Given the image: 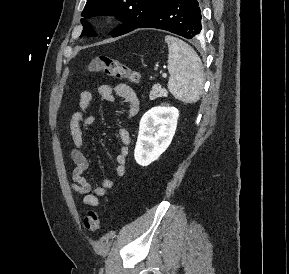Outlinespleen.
<instances>
[{
	"label": "spleen",
	"mask_w": 289,
	"mask_h": 274,
	"mask_svg": "<svg viewBox=\"0 0 289 274\" xmlns=\"http://www.w3.org/2000/svg\"><path fill=\"white\" fill-rule=\"evenodd\" d=\"M168 89L180 101L194 103L203 90V67L200 57L190 45L176 37L167 35Z\"/></svg>",
	"instance_id": "1"
}]
</instances>
